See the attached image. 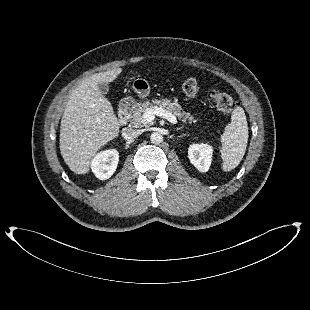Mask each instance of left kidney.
Here are the masks:
<instances>
[{
    "mask_svg": "<svg viewBox=\"0 0 310 310\" xmlns=\"http://www.w3.org/2000/svg\"><path fill=\"white\" fill-rule=\"evenodd\" d=\"M213 148L208 144H192L188 148V157L199 171L207 172L212 161Z\"/></svg>",
    "mask_w": 310,
    "mask_h": 310,
    "instance_id": "5707ae66",
    "label": "left kidney"
}]
</instances>
